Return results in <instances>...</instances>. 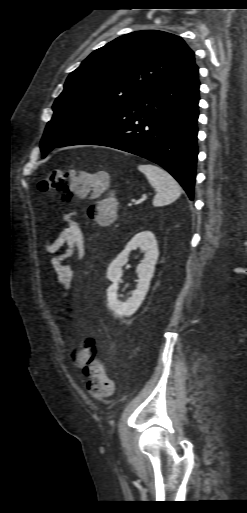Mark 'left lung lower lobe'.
Masks as SVG:
<instances>
[{"label": "left lung lower lobe", "instance_id": "0a47b994", "mask_svg": "<svg viewBox=\"0 0 247 513\" xmlns=\"http://www.w3.org/2000/svg\"><path fill=\"white\" fill-rule=\"evenodd\" d=\"M199 86L193 59L168 81L57 147L101 145L141 156L165 168L193 200Z\"/></svg>", "mask_w": 247, "mask_h": 513}]
</instances>
